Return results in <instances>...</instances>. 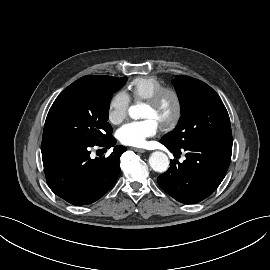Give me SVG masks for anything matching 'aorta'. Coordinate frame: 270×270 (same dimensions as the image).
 <instances>
[{"label": "aorta", "instance_id": "1", "mask_svg": "<svg viewBox=\"0 0 270 270\" xmlns=\"http://www.w3.org/2000/svg\"><path fill=\"white\" fill-rule=\"evenodd\" d=\"M129 115L132 119H139L141 117V106L139 104L131 106ZM149 164L154 171L162 173L168 169L169 159L163 152L155 151L149 157Z\"/></svg>", "mask_w": 270, "mask_h": 270}]
</instances>
